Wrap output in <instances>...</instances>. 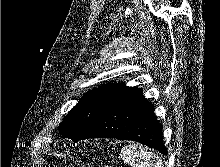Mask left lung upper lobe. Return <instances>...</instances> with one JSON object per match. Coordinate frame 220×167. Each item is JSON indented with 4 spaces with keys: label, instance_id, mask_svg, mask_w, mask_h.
<instances>
[{
    "label": "left lung upper lobe",
    "instance_id": "1",
    "mask_svg": "<svg viewBox=\"0 0 220 167\" xmlns=\"http://www.w3.org/2000/svg\"><path fill=\"white\" fill-rule=\"evenodd\" d=\"M125 88L123 83H113L89 91L64 117L60 134L73 142L80 140Z\"/></svg>",
    "mask_w": 220,
    "mask_h": 167
}]
</instances>
